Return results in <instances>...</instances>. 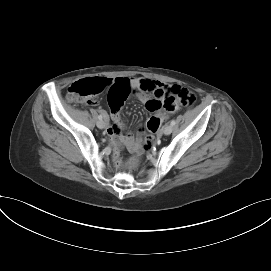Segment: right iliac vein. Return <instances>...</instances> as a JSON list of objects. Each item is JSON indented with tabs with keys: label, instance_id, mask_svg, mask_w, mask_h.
I'll list each match as a JSON object with an SVG mask.
<instances>
[{
	"label": "right iliac vein",
	"instance_id": "63e3f726",
	"mask_svg": "<svg viewBox=\"0 0 271 271\" xmlns=\"http://www.w3.org/2000/svg\"><path fill=\"white\" fill-rule=\"evenodd\" d=\"M105 126H106L105 121H103V120H99V121L97 122V127H98V128H100V129H104V128H105Z\"/></svg>",
	"mask_w": 271,
	"mask_h": 271
}]
</instances>
